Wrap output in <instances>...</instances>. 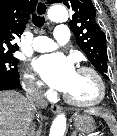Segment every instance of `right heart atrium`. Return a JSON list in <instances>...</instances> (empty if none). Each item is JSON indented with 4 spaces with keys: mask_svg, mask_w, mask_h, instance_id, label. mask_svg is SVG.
<instances>
[{
    "mask_svg": "<svg viewBox=\"0 0 117 136\" xmlns=\"http://www.w3.org/2000/svg\"><path fill=\"white\" fill-rule=\"evenodd\" d=\"M23 87L29 96L44 97L49 95V91H45L43 83L31 72L25 74Z\"/></svg>",
    "mask_w": 117,
    "mask_h": 136,
    "instance_id": "right-heart-atrium-1",
    "label": "right heart atrium"
}]
</instances>
